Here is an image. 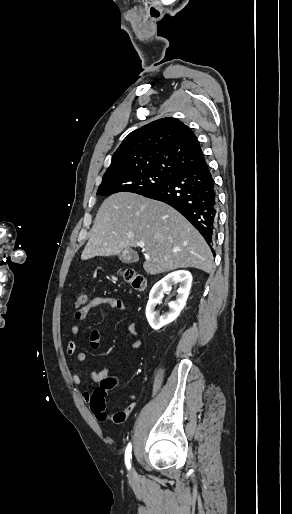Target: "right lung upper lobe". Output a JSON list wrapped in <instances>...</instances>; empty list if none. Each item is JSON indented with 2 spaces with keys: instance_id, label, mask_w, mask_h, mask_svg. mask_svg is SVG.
<instances>
[{
  "instance_id": "right-lung-upper-lobe-1",
  "label": "right lung upper lobe",
  "mask_w": 292,
  "mask_h": 514,
  "mask_svg": "<svg viewBox=\"0 0 292 514\" xmlns=\"http://www.w3.org/2000/svg\"><path fill=\"white\" fill-rule=\"evenodd\" d=\"M204 160L194 132L178 119L162 118L125 137L103 179L144 172L173 175Z\"/></svg>"
}]
</instances>
